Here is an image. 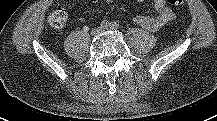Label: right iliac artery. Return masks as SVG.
<instances>
[{"label":"right iliac artery","mask_w":217,"mask_h":121,"mask_svg":"<svg viewBox=\"0 0 217 121\" xmlns=\"http://www.w3.org/2000/svg\"><path fill=\"white\" fill-rule=\"evenodd\" d=\"M108 26H109V22L108 21H106V20L102 21V23H101V27L102 28H107Z\"/></svg>","instance_id":"obj_1"}]
</instances>
